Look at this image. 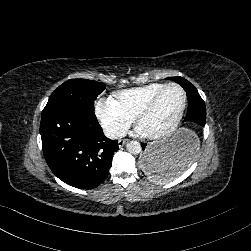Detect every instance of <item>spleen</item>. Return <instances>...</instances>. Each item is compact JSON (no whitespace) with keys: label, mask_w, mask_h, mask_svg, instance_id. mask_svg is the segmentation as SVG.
I'll list each match as a JSON object with an SVG mask.
<instances>
[{"label":"spleen","mask_w":251,"mask_h":251,"mask_svg":"<svg viewBox=\"0 0 251 251\" xmlns=\"http://www.w3.org/2000/svg\"><path fill=\"white\" fill-rule=\"evenodd\" d=\"M199 145V140L196 139L195 141V149L198 147ZM192 155V154H190ZM183 163H182V167L178 170L176 169H172V170H168L167 172H160V171H156L154 174V179L156 181H168L171 177H175L178 176V174L182 173V171L188 166V164L191 163V156H184L183 158ZM152 173V172H149Z\"/></svg>","instance_id":"1"}]
</instances>
